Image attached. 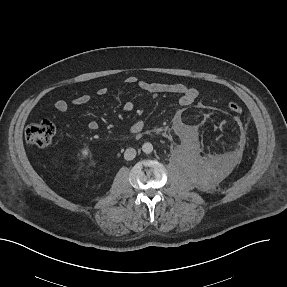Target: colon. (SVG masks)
Returning a JSON list of instances; mask_svg holds the SVG:
<instances>
[{
    "mask_svg": "<svg viewBox=\"0 0 287 287\" xmlns=\"http://www.w3.org/2000/svg\"><path fill=\"white\" fill-rule=\"evenodd\" d=\"M228 107L233 113H241L243 110L241 103L235 100L230 101ZM54 135L55 126L47 120L29 125L25 132L26 140L41 149L51 146Z\"/></svg>",
    "mask_w": 287,
    "mask_h": 287,
    "instance_id": "colon-1",
    "label": "colon"
}]
</instances>
